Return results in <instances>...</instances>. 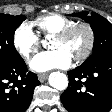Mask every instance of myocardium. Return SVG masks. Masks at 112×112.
Wrapping results in <instances>:
<instances>
[{
  "label": "myocardium",
  "mask_w": 112,
  "mask_h": 112,
  "mask_svg": "<svg viewBox=\"0 0 112 112\" xmlns=\"http://www.w3.org/2000/svg\"><path fill=\"white\" fill-rule=\"evenodd\" d=\"M83 28L87 32L88 42L85 50L76 56L74 59L75 62H82L87 59L93 51L95 45V31L91 24L87 22H77L74 23L63 30L59 31L54 35V37L59 38L61 40L67 39L71 34H73L77 29Z\"/></svg>",
  "instance_id": "myocardium-1"
}]
</instances>
